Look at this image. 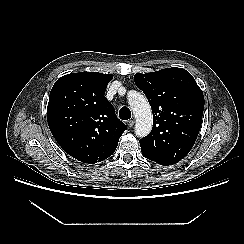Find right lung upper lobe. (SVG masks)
<instances>
[{
    "instance_id": "obj_1",
    "label": "right lung upper lobe",
    "mask_w": 244,
    "mask_h": 244,
    "mask_svg": "<svg viewBox=\"0 0 244 244\" xmlns=\"http://www.w3.org/2000/svg\"><path fill=\"white\" fill-rule=\"evenodd\" d=\"M113 75L98 72L71 73L51 89L47 121L62 149L83 163L94 164L111 156L126 125L105 98Z\"/></svg>"
}]
</instances>
